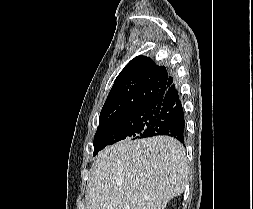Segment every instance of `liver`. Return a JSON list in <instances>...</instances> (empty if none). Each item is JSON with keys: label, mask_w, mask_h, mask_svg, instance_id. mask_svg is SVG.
I'll use <instances>...</instances> for the list:
<instances>
[{"label": "liver", "mask_w": 253, "mask_h": 209, "mask_svg": "<svg viewBox=\"0 0 253 209\" xmlns=\"http://www.w3.org/2000/svg\"><path fill=\"white\" fill-rule=\"evenodd\" d=\"M188 182L183 145L169 136L127 139L93 160L87 209H165Z\"/></svg>", "instance_id": "6515ba94"}]
</instances>
